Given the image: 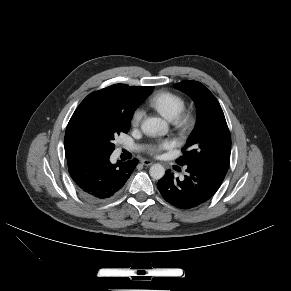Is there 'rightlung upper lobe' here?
Instances as JSON below:
<instances>
[{
    "instance_id": "cb5924a9",
    "label": "right lung upper lobe",
    "mask_w": 291,
    "mask_h": 291,
    "mask_svg": "<svg viewBox=\"0 0 291 291\" xmlns=\"http://www.w3.org/2000/svg\"><path fill=\"white\" fill-rule=\"evenodd\" d=\"M152 89L153 87L115 84L91 93L81 104L102 112L118 113L132 117L135 109L149 95ZM74 153L65 149L66 157Z\"/></svg>"
}]
</instances>
